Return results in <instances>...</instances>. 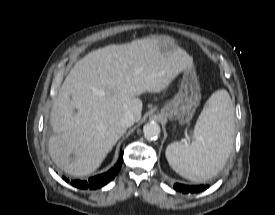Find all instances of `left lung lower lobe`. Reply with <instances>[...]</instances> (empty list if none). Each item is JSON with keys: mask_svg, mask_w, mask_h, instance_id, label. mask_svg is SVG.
Masks as SVG:
<instances>
[{"mask_svg": "<svg viewBox=\"0 0 275 215\" xmlns=\"http://www.w3.org/2000/svg\"><path fill=\"white\" fill-rule=\"evenodd\" d=\"M208 185H184L180 183L174 184V189L182 192V193H198L204 191L208 188Z\"/></svg>", "mask_w": 275, "mask_h": 215, "instance_id": "left-lung-lower-lobe-1", "label": "left lung lower lobe"}]
</instances>
